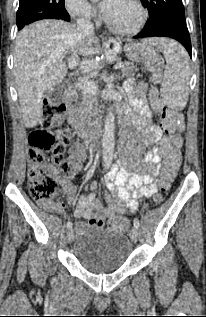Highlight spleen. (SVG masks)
<instances>
[{
  "label": "spleen",
  "instance_id": "1",
  "mask_svg": "<svg viewBox=\"0 0 206 317\" xmlns=\"http://www.w3.org/2000/svg\"><path fill=\"white\" fill-rule=\"evenodd\" d=\"M163 53L166 59L164 80L160 93L164 103L175 110H182L188 101L190 63L185 49L176 41L167 38L143 40Z\"/></svg>",
  "mask_w": 206,
  "mask_h": 317
}]
</instances>
